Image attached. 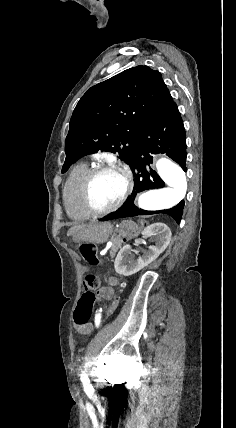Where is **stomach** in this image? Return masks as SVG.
Returning <instances> with one entry per match:
<instances>
[{
  "instance_id": "0dacf381",
  "label": "stomach",
  "mask_w": 236,
  "mask_h": 428,
  "mask_svg": "<svg viewBox=\"0 0 236 428\" xmlns=\"http://www.w3.org/2000/svg\"><path fill=\"white\" fill-rule=\"evenodd\" d=\"M112 234V226L109 222H90L86 224L80 234L73 238L74 242H94L103 244Z\"/></svg>"
}]
</instances>
